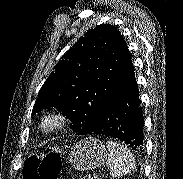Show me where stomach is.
Wrapping results in <instances>:
<instances>
[{"instance_id":"stomach-1","label":"stomach","mask_w":183,"mask_h":179,"mask_svg":"<svg viewBox=\"0 0 183 179\" xmlns=\"http://www.w3.org/2000/svg\"><path fill=\"white\" fill-rule=\"evenodd\" d=\"M107 159L106 147L97 138L89 137L79 141L71 149L69 161L78 171L100 167Z\"/></svg>"}]
</instances>
